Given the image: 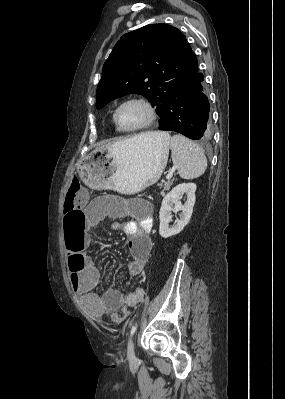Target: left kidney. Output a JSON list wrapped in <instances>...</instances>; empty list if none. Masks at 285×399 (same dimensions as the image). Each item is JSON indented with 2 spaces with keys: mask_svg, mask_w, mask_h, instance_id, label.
<instances>
[{
  "mask_svg": "<svg viewBox=\"0 0 285 399\" xmlns=\"http://www.w3.org/2000/svg\"><path fill=\"white\" fill-rule=\"evenodd\" d=\"M195 183H182L174 187L162 200L159 219V233L163 238H169L180 233L183 228L189 223L192 216L193 207L195 204ZM183 194L187 195V200L184 204L180 202ZM177 213L182 211L180 219L177 220L173 227H169L172 215L171 212Z\"/></svg>",
  "mask_w": 285,
  "mask_h": 399,
  "instance_id": "1",
  "label": "left kidney"
}]
</instances>
